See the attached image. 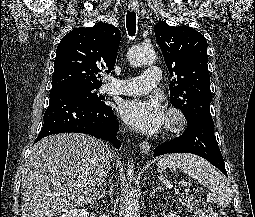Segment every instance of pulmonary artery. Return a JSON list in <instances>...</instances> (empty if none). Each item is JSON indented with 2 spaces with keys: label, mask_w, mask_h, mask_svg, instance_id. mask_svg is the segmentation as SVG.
<instances>
[{
  "label": "pulmonary artery",
  "mask_w": 255,
  "mask_h": 217,
  "mask_svg": "<svg viewBox=\"0 0 255 217\" xmlns=\"http://www.w3.org/2000/svg\"><path fill=\"white\" fill-rule=\"evenodd\" d=\"M161 79V71L157 67H149L142 74L124 80L109 78L105 91L108 94L141 95L154 88Z\"/></svg>",
  "instance_id": "pulmonary-artery-1"
}]
</instances>
